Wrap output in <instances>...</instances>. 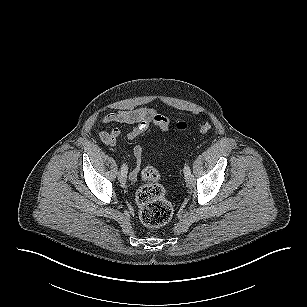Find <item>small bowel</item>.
I'll list each match as a JSON object with an SVG mask.
<instances>
[{
    "label": "small bowel",
    "instance_id": "1",
    "mask_svg": "<svg viewBox=\"0 0 307 307\" xmlns=\"http://www.w3.org/2000/svg\"><path fill=\"white\" fill-rule=\"evenodd\" d=\"M103 123L134 125L133 128L127 133V138L130 140L135 139L145 133L151 125L158 127L162 132H167L170 129V121L167 117L158 113L154 109L147 107L111 112L103 118ZM120 135L121 130L114 127L110 130L101 131L100 140L107 146H115ZM143 153L144 148L141 145L134 147L133 156L135 159V167L129 173V178L132 181H135L138 178Z\"/></svg>",
    "mask_w": 307,
    "mask_h": 307
}]
</instances>
